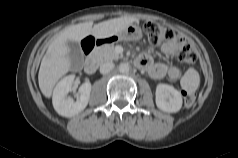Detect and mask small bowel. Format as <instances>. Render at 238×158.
<instances>
[{
    "label": "small bowel",
    "mask_w": 238,
    "mask_h": 158,
    "mask_svg": "<svg viewBox=\"0 0 238 158\" xmlns=\"http://www.w3.org/2000/svg\"><path fill=\"white\" fill-rule=\"evenodd\" d=\"M181 44L182 41L180 39L168 41L163 45L162 51L166 56L174 57L179 52ZM137 64L156 80L164 77H168L171 80H177L181 74L180 69L177 66H168L164 63L154 62L149 54H142L137 59Z\"/></svg>",
    "instance_id": "obj_1"
}]
</instances>
